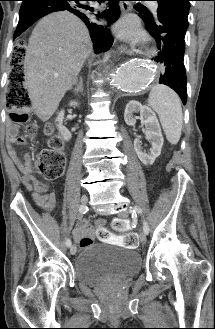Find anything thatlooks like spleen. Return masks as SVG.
<instances>
[{
    "instance_id": "spleen-1",
    "label": "spleen",
    "mask_w": 215,
    "mask_h": 329,
    "mask_svg": "<svg viewBox=\"0 0 215 329\" xmlns=\"http://www.w3.org/2000/svg\"><path fill=\"white\" fill-rule=\"evenodd\" d=\"M148 105L158 114L167 140L173 145L177 144L183 126L178 95L165 85H155L149 93Z\"/></svg>"
}]
</instances>
